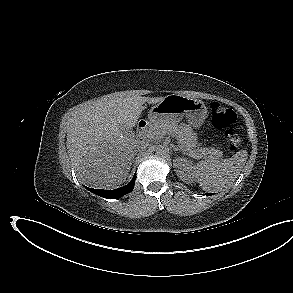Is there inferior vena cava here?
<instances>
[{
    "label": "inferior vena cava",
    "mask_w": 293,
    "mask_h": 293,
    "mask_svg": "<svg viewBox=\"0 0 293 293\" xmlns=\"http://www.w3.org/2000/svg\"><path fill=\"white\" fill-rule=\"evenodd\" d=\"M148 147V143L146 141H136L135 145H134V151L135 152H141L146 150V148Z\"/></svg>",
    "instance_id": "obj_1"
}]
</instances>
